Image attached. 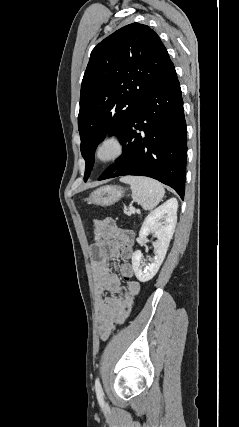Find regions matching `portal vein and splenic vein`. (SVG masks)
<instances>
[{
	"label": "portal vein and splenic vein",
	"mask_w": 239,
	"mask_h": 427,
	"mask_svg": "<svg viewBox=\"0 0 239 427\" xmlns=\"http://www.w3.org/2000/svg\"><path fill=\"white\" fill-rule=\"evenodd\" d=\"M135 211H136V210H135V208H134V207H130V212H129L128 214L130 215V214H132V213H135Z\"/></svg>",
	"instance_id": "obj_1"
}]
</instances>
